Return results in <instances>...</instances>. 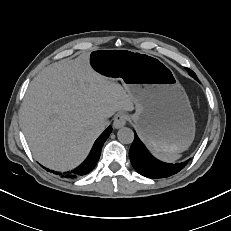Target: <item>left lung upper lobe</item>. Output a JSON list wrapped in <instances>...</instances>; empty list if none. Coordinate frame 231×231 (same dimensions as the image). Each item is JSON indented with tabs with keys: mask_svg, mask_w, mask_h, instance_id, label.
Listing matches in <instances>:
<instances>
[{
	"mask_svg": "<svg viewBox=\"0 0 231 231\" xmlns=\"http://www.w3.org/2000/svg\"><path fill=\"white\" fill-rule=\"evenodd\" d=\"M186 69L188 70L190 76H192L194 79L198 80L197 77H196V74L192 70H190L188 68H186Z\"/></svg>",
	"mask_w": 231,
	"mask_h": 231,
	"instance_id": "obj_1",
	"label": "left lung upper lobe"
}]
</instances>
